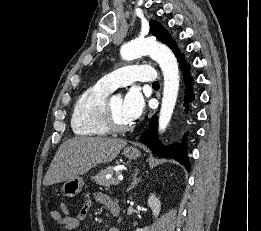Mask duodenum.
I'll return each instance as SVG.
<instances>
[{
  "mask_svg": "<svg viewBox=\"0 0 261 231\" xmlns=\"http://www.w3.org/2000/svg\"><path fill=\"white\" fill-rule=\"evenodd\" d=\"M107 207L113 215H117L119 213L118 203L112 201V202L108 203Z\"/></svg>",
  "mask_w": 261,
  "mask_h": 231,
  "instance_id": "410a0bca",
  "label": "duodenum"
}]
</instances>
